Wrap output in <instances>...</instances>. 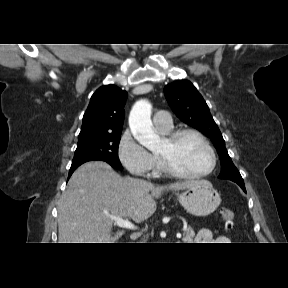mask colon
<instances>
[{"mask_svg": "<svg viewBox=\"0 0 288 288\" xmlns=\"http://www.w3.org/2000/svg\"><path fill=\"white\" fill-rule=\"evenodd\" d=\"M220 215L224 222V226L227 230H232L234 228L235 216L232 210L227 208L220 209Z\"/></svg>", "mask_w": 288, "mask_h": 288, "instance_id": "1", "label": "colon"}]
</instances>
